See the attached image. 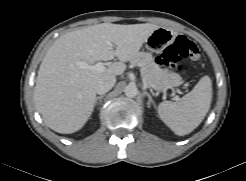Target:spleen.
I'll list each match as a JSON object with an SVG mask.
<instances>
[{
	"label": "spleen",
	"mask_w": 246,
	"mask_h": 181,
	"mask_svg": "<svg viewBox=\"0 0 246 181\" xmlns=\"http://www.w3.org/2000/svg\"><path fill=\"white\" fill-rule=\"evenodd\" d=\"M211 100L212 82L210 77L203 76L180 102L163 101L157 112L175 134L184 136L200 125L210 109Z\"/></svg>",
	"instance_id": "spleen-1"
}]
</instances>
